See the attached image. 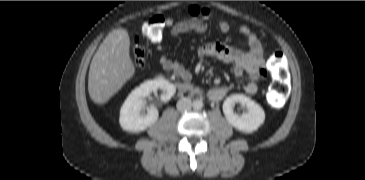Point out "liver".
Here are the masks:
<instances>
[{
  "instance_id": "6515ba94",
  "label": "liver",
  "mask_w": 365,
  "mask_h": 180,
  "mask_svg": "<svg viewBox=\"0 0 365 180\" xmlns=\"http://www.w3.org/2000/svg\"><path fill=\"white\" fill-rule=\"evenodd\" d=\"M127 30L115 29L107 35L93 56L88 77L90 98L104 104L133 77L135 66L129 54Z\"/></svg>"
}]
</instances>
